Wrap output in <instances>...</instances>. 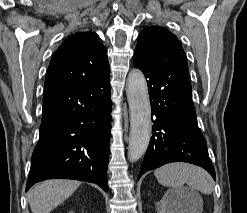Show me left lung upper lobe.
<instances>
[{
    "label": "left lung upper lobe",
    "instance_id": "left-lung-upper-lobe-1",
    "mask_svg": "<svg viewBox=\"0 0 247 213\" xmlns=\"http://www.w3.org/2000/svg\"><path fill=\"white\" fill-rule=\"evenodd\" d=\"M133 61L139 66L188 67L186 55L176 36L159 26H149L139 34Z\"/></svg>",
    "mask_w": 247,
    "mask_h": 213
}]
</instances>
